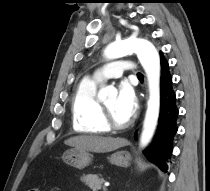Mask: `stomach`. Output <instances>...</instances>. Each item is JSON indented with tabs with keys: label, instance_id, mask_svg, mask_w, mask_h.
Segmentation results:
<instances>
[{
	"label": "stomach",
	"instance_id": "obj_1",
	"mask_svg": "<svg viewBox=\"0 0 210 191\" xmlns=\"http://www.w3.org/2000/svg\"><path fill=\"white\" fill-rule=\"evenodd\" d=\"M91 157V154H89L86 150L74 148L66 151L63 154L62 159L66 164L70 166L83 169L90 164ZM109 161L111 164L119 167H128L131 162V157L130 154L126 151H118L109 157Z\"/></svg>",
	"mask_w": 210,
	"mask_h": 191
}]
</instances>
